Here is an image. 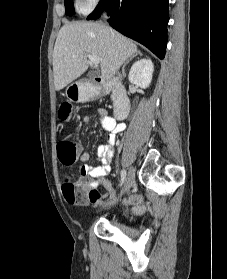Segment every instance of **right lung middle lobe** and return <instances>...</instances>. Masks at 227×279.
<instances>
[{"label":"right lung middle lobe","instance_id":"obj_1","mask_svg":"<svg viewBox=\"0 0 227 279\" xmlns=\"http://www.w3.org/2000/svg\"><path fill=\"white\" fill-rule=\"evenodd\" d=\"M65 13L68 16L74 14L73 0H65Z\"/></svg>","mask_w":227,"mask_h":279}]
</instances>
